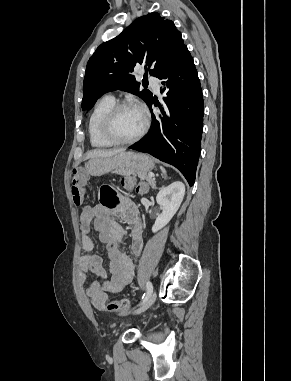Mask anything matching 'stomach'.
Masks as SVG:
<instances>
[{"label":"stomach","mask_w":291,"mask_h":381,"mask_svg":"<svg viewBox=\"0 0 291 381\" xmlns=\"http://www.w3.org/2000/svg\"><path fill=\"white\" fill-rule=\"evenodd\" d=\"M153 168L154 161L150 156L143 153L122 152L109 157L92 158L85 164L83 171L88 175L102 176L118 169H128L147 173Z\"/></svg>","instance_id":"0dacf381"}]
</instances>
